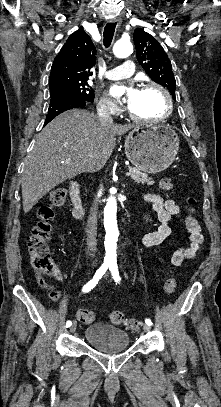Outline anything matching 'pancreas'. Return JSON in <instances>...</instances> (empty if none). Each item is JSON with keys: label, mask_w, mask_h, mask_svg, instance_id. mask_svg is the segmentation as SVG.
<instances>
[{"label": "pancreas", "mask_w": 221, "mask_h": 407, "mask_svg": "<svg viewBox=\"0 0 221 407\" xmlns=\"http://www.w3.org/2000/svg\"><path fill=\"white\" fill-rule=\"evenodd\" d=\"M129 172H131V178L137 183H147L148 185L154 184V181L148 176V174L141 172L137 168L129 167Z\"/></svg>", "instance_id": "cf45deb5"}]
</instances>
